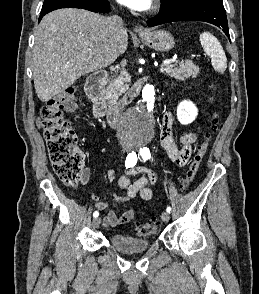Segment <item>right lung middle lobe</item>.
<instances>
[{"label":"right lung middle lobe","instance_id":"dd1d6c3e","mask_svg":"<svg viewBox=\"0 0 259 294\" xmlns=\"http://www.w3.org/2000/svg\"><path fill=\"white\" fill-rule=\"evenodd\" d=\"M63 1L85 3V2H89V1H93V0H44L41 11H45L48 8H50L52 5H54L58 2H63Z\"/></svg>","mask_w":259,"mask_h":294}]
</instances>
